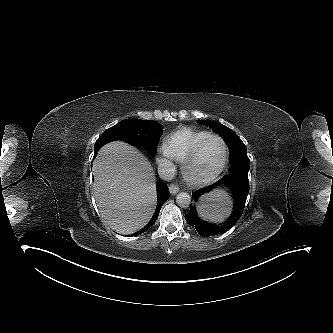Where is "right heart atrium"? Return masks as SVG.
Returning a JSON list of instances; mask_svg holds the SVG:
<instances>
[{"label":"right heart atrium","mask_w":333,"mask_h":333,"mask_svg":"<svg viewBox=\"0 0 333 333\" xmlns=\"http://www.w3.org/2000/svg\"><path fill=\"white\" fill-rule=\"evenodd\" d=\"M170 157L166 148L165 147H162L161 149V157H160V161L161 162H166L167 161V158Z\"/></svg>","instance_id":"d8ad5b80"}]
</instances>
